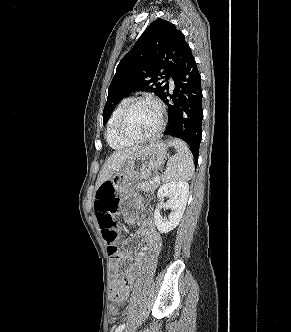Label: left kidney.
Masks as SVG:
<instances>
[{
    "label": "left kidney",
    "instance_id": "left-kidney-1",
    "mask_svg": "<svg viewBox=\"0 0 291 332\" xmlns=\"http://www.w3.org/2000/svg\"><path fill=\"white\" fill-rule=\"evenodd\" d=\"M189 184L185 181L168 182L163 184L157 193L158 203L154 211L155 224L161 233H168L179 224L188 199ZM169 196L166 203V208L171 212L168 218H165L160 213V207L163 198Z\"/></svg>",
    "mask_w": 291,
    "mask_h": 332
}]
</instances>
